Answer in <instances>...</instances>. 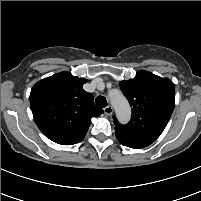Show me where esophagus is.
<instances>
[{
    "label": "esophagus",
    "instance_id": "34e87169",
    "mask_svg": "<svg viewBox=\"0 0 201 201\" xmlns=\"http://www.w3.org/2000/svg\"><path fill=\"white\" fill-rule=\"evenodd\" d=\"M104 113H105L106 115H108V116L112 115V113H113V108H112V106H110V105L106 106V107L104 108Z\"/></svg>",
    "mask_w": 201,
    "mask_h": 201
}]
</instances>
